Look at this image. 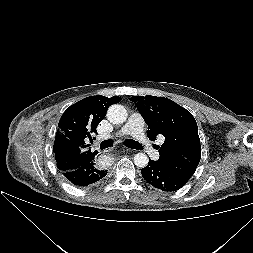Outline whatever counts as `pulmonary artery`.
<instances>
[{
    "label": "pulmonary artery",
    "instance_id": "pulmonary-artery-1",
    "mask_svg": "<svg viewBox=\"0 0 253 253\" xmlns=\"http://www.w3.org/2000/svg\"><path fill=\"white\" fill-rule=\"evenodd\" d=\"M124 135H132L141 144L147 142V138L144 132V120L138 113H132L127 123L113 136L121 137ZM110 136H103L102 138H108ZM144 150L147 152L152 160L159 159V153L152 146H144Z\"/></svg>",
    "mask_w": 253,
    "mask_h": 253
}]
</instances>
